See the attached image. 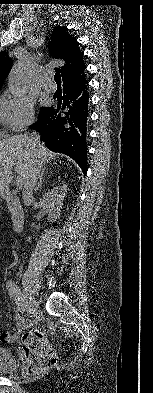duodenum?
<instances>
[{"instance_id":"410a0bca","label":"duodenum","mask_w":153,"mask_h":393,"mask_svg":"<svg viewBox=\"0 0 153 393\" xmlns=\"http://www.w3.org/2000/svg\"><path fill=\"white\" fill-rule=\"evenodd\" d=\"M4 198L11 206L10 217L12 227L15 231H20L22 228L24 215L20 208L19 201L11 192H5Z\"/></svg>"}]
</instances>
